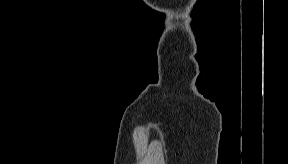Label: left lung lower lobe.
I'll return each instance as SVG.
<instances>
[{
    "instance_id": "left-lung-lower-lobe-1",
    "label": "left lung lower lobe",
    "mask_w": 288,
    "mask_h": 164,
    "mask_svg": "<svg viewBox=\"0 0 288 164\" xmlns=\"http://www.w3.org/2000/svg\"><path fill=\"white\" fill-rule=\"evenodd\" d=\"M206 75V81H207V87L205 91H203V95L214 101L216 99V90L212 87V84L215 80L221 79V87H225L229 85L233 78H234V73L231 69H223L221 73H212V72H205Z\"/></svg>"
}]
</instances>
